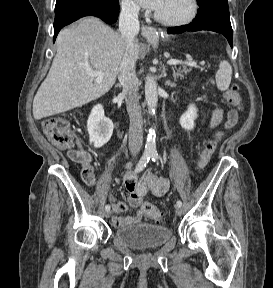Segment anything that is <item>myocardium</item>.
Listing matches in <instances>:
<instances>
[{
	"instance_id": "1",
	"label": "myocardium",
	"mask_w": 273,
	"mask_h": 288,
	"mask_svg": "<svg viewBox=\"0 0 273 288\" xmlns=\"http://www.w3.org/2000/svg\"><path fill=\"white\" fill-rule=\"evenodd\" d=\"M191 4H192V8L190 13L181 19H176V20H171V19H165L163 17H161L160 15H158L156 12H154V19L166 26H182L185 24L190 23L197 15L198 13V9H199V4H198V0H191Z\"/></svg>"
}]
</instances>
